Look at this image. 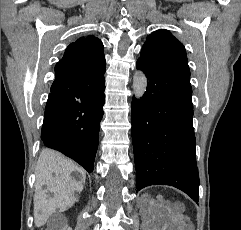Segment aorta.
I'll return each mask as SVG.
<instances>
[{"label": "aorta", "instance_id": "obj_1", "mask_svg": "<svg viewBox=\"0 0 241 230\" xmlns=\"http://www.w3.org/2000/svg\"><path fill=\"white\" fill-rule=\"evenodd\" d=\"M133 93L137 99L143 97L147 88V78L142 71H137L133 76Z\"/></svg>", "mask_w": 241, "mask_h": 230}]
</instances>
